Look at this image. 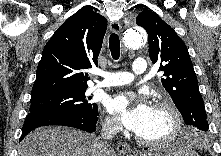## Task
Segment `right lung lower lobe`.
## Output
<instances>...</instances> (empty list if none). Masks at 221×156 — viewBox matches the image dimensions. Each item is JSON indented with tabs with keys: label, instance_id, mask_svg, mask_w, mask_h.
<instances>
[{
	"label": "right lung lower lobe",
	"instance_id": "obj_1",
	"mask_svg": "<svg viewBox=\"0 0 221 156\" xmlns=\"http://www.w3.org/2000/svg\"><path fill=\"white\" fill-rule=\"evenodd\" d=\"M96 114H52L30 112L24 122L20 141L32 130L47 125H62L74 127L87 132L96 130L98 120Z\"/></svg>",
	"mask_w": 221,
	"mask_h": 156
}]
</instances>
